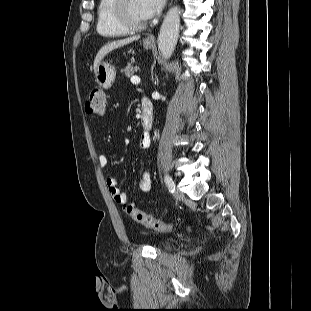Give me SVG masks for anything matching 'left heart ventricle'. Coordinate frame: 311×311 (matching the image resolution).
<instances>
[{"label": "left heart ventricle", "instance_id": "b2bd125f", "mask_svg": "<svg viewBox=\"0 0 311 311\" xmlns=\"http://www.w3.org/2000/svg\"><path fill=\"white\" fill-rule=\"evenodd\" d=\"M128 14L134 22H144L146 19L140 12L139 0H128L127 3Z\"/></svg>", "mask_w": 311, "mask_h": 311}]
</instances>
